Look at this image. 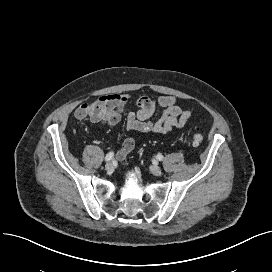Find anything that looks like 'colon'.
Wrapping results in <instances>:
<instances>
[{
    "instance_id": "colon-1",
    "label": "colon",
    "mask_w": 272,
    "mask_h": 272,
    "mask_svg": "<svg viewBox=\"0 0 272 272\" xmlns=\"http://www.w3.org/2000/svg\"><path fill=\"white\" fill-rule=\"evenodd\" d=\"M202 141H203V136L198 132L193 134V136L190 139V143L194 146L201 144Z\"/></svg>"
}]
</instances>
